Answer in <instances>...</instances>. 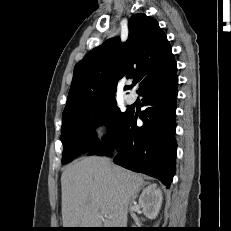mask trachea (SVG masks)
<instances>
[{
  "instance_id": "trachea-1",
  "label": "trachea",
  "mask_w": 231,
  "mask_h": 231,
  "mask_svg": "<svg viewBox=\"0 0 231 231\" xmlns=\"http://www.w3.org/2000/svg\"><path fill=\"white\" fill-rule=\"evenodd\" d=\"M133 83H134V84H136V83H137V81H133Z\"/></svg>"
}]
</instances>
